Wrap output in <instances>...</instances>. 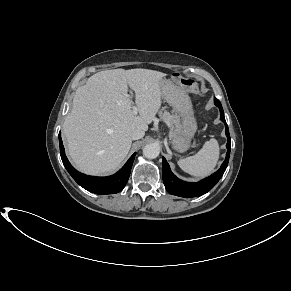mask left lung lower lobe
I'll use <instances>...</instances> for the list:
<instances>
[{
	"label": "left lung lower lobe",
	"instance_id": "obj_1",
	"mask_svg": "<svg viewBox=\"0 0 291 291\" xmlns=\"http://www.w3.org/2000/svg\"><path fill=\"white\" fill-rule=\"evenodd\" d=\"M215 105L220 109V118L225 124V133L228 138L227 142V154L225 161L223 162L221 168L215 172L213 175L197 182H185L178 179L170 170L169 164L167 163L166 159L163 157V182L165 185L166 190L176 196L184 197V198H191L196 196H201L208 191H210L220 180L223 176L229 161L230 156V134L227 123L225 121L223 108L221 103L218 99L214 98Z\"/></svg>",
	"mask_w": 291,
	"mask_h": 291
}]
</instances>
